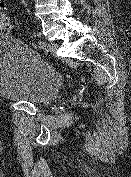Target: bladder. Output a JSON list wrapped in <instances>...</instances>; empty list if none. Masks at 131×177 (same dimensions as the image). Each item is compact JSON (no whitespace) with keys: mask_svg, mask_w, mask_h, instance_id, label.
I'll return each instance as SVG.
<instances>
[{"mask_svg":"<svg viewBox=\"0 0 131 177\" xmlns=\"http://www.w3.org/2000/svg\"><path fill=\"white\" fill-rule=\"evenodd\" d=\"M63 86V79L28 47L7 37L0 40V97L42 106Z\"/></svg>","mask_w":131,"mask_h":177,"instance_id":"bladder-1","label":"bladder"}]
</instances>
